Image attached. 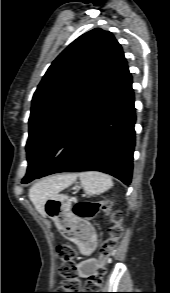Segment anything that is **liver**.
Listing matches in <instances>:
<instances>
[{
    "label": "liver",
    "mask_w": 170,
    "mask_h": 293,
    "mask_svg": "<svg viewBox=\"0 0 170 293\" xmlns=\"http://www.w3.org/2000/svg\"><path fill=\"white\" fill-rule=\"evenodd\" d=\"M77 178V174H65L46 178L35 184L29 190V198L35 206L36 210L45 217L44 203L46 199L53 193L65 188L73 183Z\"/></svg>",
    "instance_id": "obj_1"
}]
</instances>
